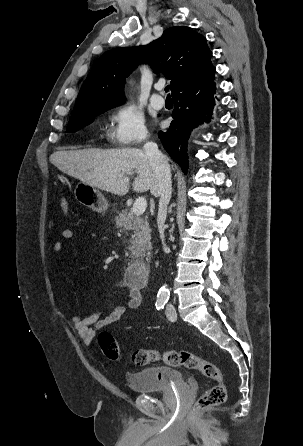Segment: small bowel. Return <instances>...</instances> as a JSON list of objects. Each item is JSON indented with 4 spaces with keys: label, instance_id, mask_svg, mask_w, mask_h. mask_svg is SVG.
Here are the masks:
<instances>
[{
    "label": "small bowel",
    "instance_id": "obj_1",
    "mask_svg": "<svg viewBox=\"0 0 303 446\" xmlns=\"http://www.w3.org/2000/svg\"><path fill=\"white\" fill-rule=\"evenodd\" d=\"M74 231L66 228L62 231V238L66 241L74 238ZM63 243L58 241L54 244V252L60 253L63 250ZM128 288V302L127 305H117L110 313L104 315L102 310L92 313L87 317H80L78 314H73L71 322L80 337V339L87 345L94 340L95 332L98 329L105 328L111 324L122 319L128 309H136L140 306L142 301L141 290L138 287L126 283Z\"/></svg>",
    "mask_w": 303,
    "mask_h": 446
}]
</instances>
